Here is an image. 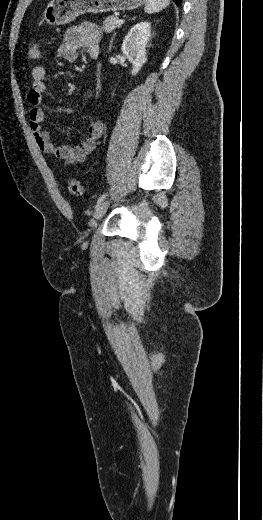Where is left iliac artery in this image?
I'll return each instance as SVG.
<instances>
[{"label": "left iliac artery", "mask_w": 263, "mask_h": 520, "mask_svg": "<svg viewBox=\"0 0 263 520\" xmlns=\"http://www.w3.org/2000/svg\"><path fill=\"white\" fill-rule=\"evenodd\" d=\"M106 196H107V193H103V194L98 198V200H97V205H96V206H98L99 204H101V203L104 201V199H105Z\"/></svg>", "instance_id": "left-iliac-artery-1"}]
</instances>
